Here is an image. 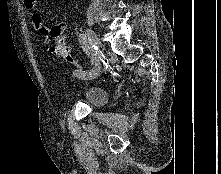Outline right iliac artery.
Returning <instances> with one entry per match:
<instances>
[{"instance_id": "right-iliac-artery-1", "label": "right iliac artery", "mask_w": 221, "mask_h": 174, "mask_svg": "<svg viewBox=\"0 0 221 174\" xmlns=\"http://www.w3.org/2000/svg\"><path fill=\"white\" fill-rule=\"evenodd\" d=\"M82 49L86 52L91 60L92 67L88 70L78 69L75 70L74 75L80 80H93L97 78L100 74L101 66L98 57L91 53L90 39L84 35L80 34L78 37Z\"/></svg>"}]
</instances>
